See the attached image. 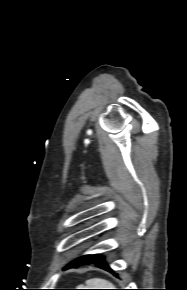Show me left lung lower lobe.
<instances>
[{"mask_svg": "<svg viewBox=\"0 0 187 290\" xmlns=\"http://www.w3.org/2000/svg\"><path fill=\"white\" fill-rule=\"evenodd\" d=\"M91 263H95V265L97 267H100L102 269L109 270V271L113 272L110 269V267L106 264V262L104 261V258L99 254H97L93 259L84 262V264H91ZM73 264H74V262H71L67 267H72Z\"/></svg>", "mask_w": 187, "mask_h": 290, "instance_id": "left-lung-lower-lobe-1", "label": "left lung lower lobe"}]
</instances>
